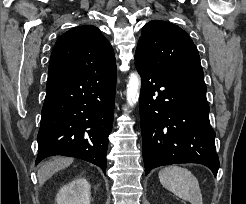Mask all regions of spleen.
Returning <instances> with one entry per match:
<instances>
[{"label": "spleen", "instance_id": "obj_1", "mask_svg": "<svg viewBox=\"0 0 246 204\" xmlns=\"http://www.w3.org/2000/svg\"><path fill=\"white\" fill-rule=\"evenodd\" d=\"M160 183L176 196L191 204H203L198 179L184 167L171 165L159 171Z\"/></svg>", "mask_w": 246, "mask_h": 204}]
</instances>
